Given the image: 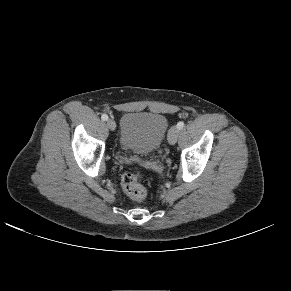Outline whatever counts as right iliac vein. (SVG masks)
<instances>
[{
    "label": "right iliac vein",
    "mask_w": 291,
    "mask_h": 291,
    "mask_svg": "<svg viewBox=\"0 0 291 291\" xmlns=\"http://www.w3.org/2000/svg\"><path fill=\"white\" fill-rule=\"evenodd\" d=\"M107 126H108V128L110 129V130H115V128H116V123H115V121L114 120H112V119H108L107 120Z\"/></svg>",
    "instance_id": "63e3f726"
}]
</instances>
